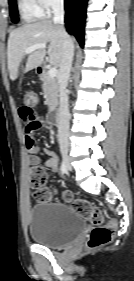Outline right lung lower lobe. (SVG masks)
Returning <instances> with one entry per match:
<instances>
[{
    "instance_id": "obj_1",
    "label": "right lung lower lobe",
    "mask_w": 134,
    "mask_h": 281,
    "mask_svg": "<svg viewBox=\"0 0 134 281\" xmlns=\"http://www.w3.org/2000/svg\"><path fill=\"white\" fill-rule=\"evenodd\" d=\"M87 0H65L67 32L73 34L81 46L84 44V23Z\"/></svg>"
}]
</instances>
